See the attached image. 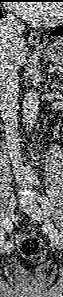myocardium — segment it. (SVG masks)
Listing matches in <instances>:
<instances>
[{
  "mask_svg": "<svg viewBox=\"0 0 63 297\" xmlns=\"http://www.w3.org/2000/svg\"><path fill=\"white\" fill-rule=\"evenodd\" d=\"M54 14L49 20L48 25H55L61 19V8L59 6H53Z\"/></svg>",
  "mask_w": 63,
  "mask_h": 297,
  "instance_id": "1",
  "label": "myocardium"
}]
</instances>
